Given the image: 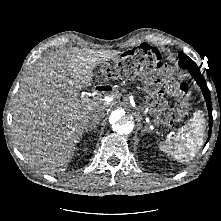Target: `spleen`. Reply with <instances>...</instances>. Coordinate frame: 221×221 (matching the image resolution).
<instances>
[{"label":"spleen","mask_w":221,"mask_h":221,"mask_svg":"<svg viewBox=\"0 0 221 221\" xmlns=\"http://www.w3.org/2000/svg\"><path fill=\"white\" fill-rule=\"evenodd\" d=\"M204 135L205 119L202 111L198 110L190 121L178 130L175 136L161 142L159 147L173 158L181 162H188L194 158L202 146Z\"/></svg>","instance_id":"obj_1"}]
</instances>
